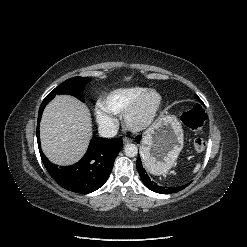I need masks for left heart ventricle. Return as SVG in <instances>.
Returning a JSON list of instances; mask_svg holds the SVG:
<instances>
[{"label": "left heart ventricle", "instance_id": "b2bd125f", "mask_svg": "<svg viewBox=\"0 0 247 247\" xmlns=\"http://www.w3.org/2000/svg\"><path fill=\"white\" fill-rule=\"evenodd\" d=\"M155 105H156V97L154 95L147 96L143 100L139 108L137 109L134 115V120L139 122L146 119L153 111Z\"/></svg>", "mask_w": 247, "mask_h": 247}]
</instances>
